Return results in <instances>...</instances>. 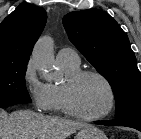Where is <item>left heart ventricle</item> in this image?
I'll return each instance as SVG.
<instances>
[{
	"instance_id": "left-heart-ventricle-1",
	"label": "left heart ventricle",
	"mask_w": 141,
	"mask_h": 139,
	"mask_svg": "<svg viewBox=\"0 0 141 139\" xmlns=\"http://www.w3.org/2000/svg\"><path fill=\"white\" fill-rule=\"evenodd\" d=\"M73 102L76 108L86 115H99L109 104V92L97 77L82 78L73 89Z\"/></svg>"
}]
</instances>
